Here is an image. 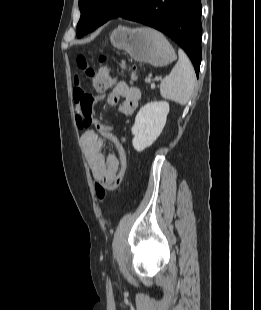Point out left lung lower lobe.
Wrapping results in <instances>:
<instances>
[{
    "label": "left lung lower lobe",
    "mask_w": 261,
    "mask_h": 310,
    "mask_svg": "<svg viewBox=\"0 0 261 310\" xmlns=\"http://www.w3.org/2000/svg\"><path fill=\"white\" fill-rule=\"evenodd\" d=\"M201 0H133L124 19L153 27L173 39L190 57L197 77L201 63ZM98 26L91 27L94 31Z\"/></svg>",
    "instance_id": "1"
}]
</instances>
